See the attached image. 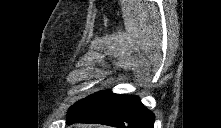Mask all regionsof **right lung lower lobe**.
I'll return each instance as SVG.
<instances>
[{
	"label": "right lung lower lobe",
	"mask_w": 221,
	"mask_h": 128,
	"mask_svg": "<svg viewBox=\"0 0 221 128\" xmlns=\"http://www.w3.org/2000/svg\"><path fill=\"white\" fill-rule=\"evenodd\" d=\"M79 122L118 128H153L154 114L136 96L110 93L67 117V124Z\"/></svg>",
	"instance_id": "1"
}]
</instances>
